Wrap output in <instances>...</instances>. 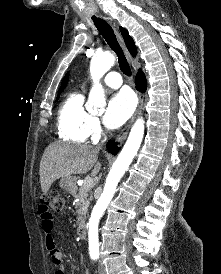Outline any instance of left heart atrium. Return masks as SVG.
Listing matches in <instances>:
<instances>
[{"instance_id": "left-heart-atrium-1", "label": "left heart atrium", "mask_w": 221, "mask_h": 274, "mask_svg": "<svg viewBox=\"0 0 221 274\" xmlns=\"http://www.w3.org/2000/svg\"><path fill=\"white\" fill-rule=\"evenodd\" d=\"M136 101L129 91H121L115 94L108 102L103 121L111 129L124 124L132 115Z\"/></svg>"}]
</instances>
